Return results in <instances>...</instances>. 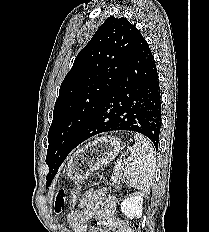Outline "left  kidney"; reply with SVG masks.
<instances>
[{
  "label": "left kidney",
  "mask_w": 209,
  "mask_h": 232,
  "mask_svg": "<svg viewBox=\"0 0 209 232\" xmlns=\"http://www.w3.org/2000/svg\"><path fill=\"white\" fill-rule=\"evenodd\" d=\"M143 194L130 195L121 203V211L128 217H141L143 212Z\"/></svg>",
  "instance_id": "left-kidney-1"
}]
</instances>
